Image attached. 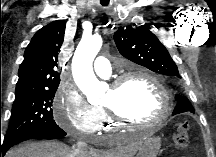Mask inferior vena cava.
<instances>
[{"label": "inferior vena cava", "instance_id": "1", "mask_svg": "<svg viewBox=\"0 0 216 157\" xmlns=\"http://www.w3.org/2000/svg\"><path fill=\"white\" fill-rule=\"evenodd\" d=\"M88 150V146L85 142L83 141H78L76 144V152L77 153H86V151Z\"/></svg>", "mask_w": 216, "mask_h": 157}]
</instances>
